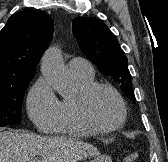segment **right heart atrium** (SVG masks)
Segmentation results:
<instances>
[{"label": "right heart atrium", "mask_w": 168, "mask_h": 162, "mask_svg": "<svg viewBox=\"0 0 168 162\" xmlns=\"http://www.w3.org/2000/svg\"><path fill=\"white\" fill-rule=\"evenodd\" d=\"M26 103L28 114L40 131H51L58 123L60 101L46 79L39 78L34 83L28 93Z\"/></svg>", "instance_id": "obj_1"}]
</instances>
